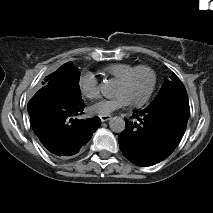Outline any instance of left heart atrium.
Returning <instances> with one entry per match:
<instances>
[{"instance_id": "left-heart-atrium-1", "label": "left heart atrium", "mask_w": 213, "mask_h": 213, "mask_svg": "<svg viewBox=\"0 0 213 213\" xmlns=\"http://www.w3.org/2000/svg\"><path fill=\"white\" fill-rule=\"evenodd\" d=\"M128 100L123 95H116L107 99H103L92 106V110L96 113L106 115L118 109L125 107Z\"/></svg>"}]
</instances>
